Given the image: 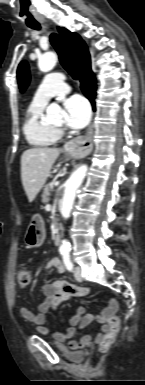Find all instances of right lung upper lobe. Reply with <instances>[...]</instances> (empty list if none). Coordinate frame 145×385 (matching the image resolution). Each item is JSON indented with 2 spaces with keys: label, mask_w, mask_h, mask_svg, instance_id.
<instances>
[{
  "label": "right lung upper lobe",
  "mask_w": 145,
  "mask_h": 385,
  "mask_svg": "<svg viewBox=\"0 0 145 385\" xmlns=\"http://www.w3.org/2000/svg\"><path fill=\"white\" fill-rule=\"evenodd\" d=\"M58 31L63 38L72 63L78 73L89 67L91 65L90 55L81 37L78 34L72 33L63 27H58Z\"/></svg>",
  "instance_id": "obj_1"
}]
</instances>
